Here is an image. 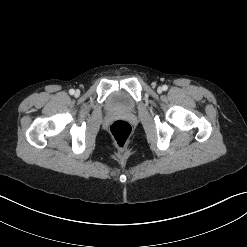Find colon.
Returning <instances> with one entry per match:
<instances>
[{"label": "colon", "mask_w": 247, "mask_h": 247, "mask_svg": "<svg viewBox=\"0 0 247 247\" xmlns=\"http://www.w3.org/2000/svg\"><path fill=\"white\" fill-rule=\"evenodd\" d=\"M109 131L115 143L123 148L130 139L132 127L124 120H117L111 124Z\"/></svg>", "instance_id": "1"}]
</instances>
